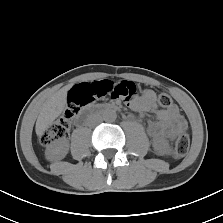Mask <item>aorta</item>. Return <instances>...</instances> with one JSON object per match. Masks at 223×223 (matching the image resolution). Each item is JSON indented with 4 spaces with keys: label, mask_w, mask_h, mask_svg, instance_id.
Returning a JSON list of instances; mask_svg holds the SVG:
<instances>
[{
    "label": "aorta",
    "mask_w": 223,
    "mask_h": 223,
    "mask_svg": "<svg viewBox=\"0 0 223 223\" xmlns=\"http://www.w3.org/2000/svg\"><path fill=\"white\" fill-rule=\"evenodd\" d=\"M117 118V114L114 110H105L102 114V119L106 122H114Z\"/></svg>",
    "instance_id": "obj_1"
}]
</instances>
